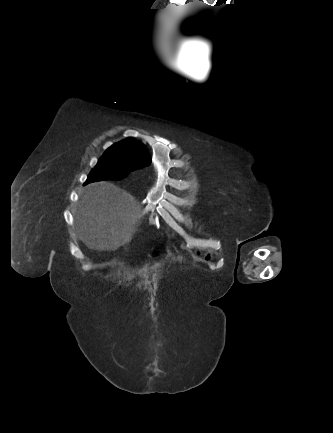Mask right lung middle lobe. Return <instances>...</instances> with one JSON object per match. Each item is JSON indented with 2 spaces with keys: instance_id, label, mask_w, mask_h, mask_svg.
<instances>
[{
  "instance_id": "1",
  "label": "right lung middle lobe",
  "mask_w": 333,
  "mask_h": 433,
  "mask_svg": "<svg viewBox=\"0 0 333 433\" xmlns=\"http://www.w3.org/2000/svg\"><path fill=\"white\" fill-rule=\"evenodd\" d=\"M129 157H115L105 154L89 174L86 183L101 180H121L134 169L147 166Z\"/></svg>"
}]
</instances>
